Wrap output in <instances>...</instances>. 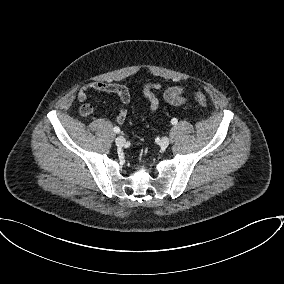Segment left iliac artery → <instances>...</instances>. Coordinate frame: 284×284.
<instances>
[{"label": "left iliac artery", "instance_id": "left-iliac-artery-1", "mask_svg": "<svg viewBox=\"0 0 284 284\" xmlns=\"http://www.w3.org/2000/svg\"><path fill=\"white\" fill-rule=\"evenodd\" d=\"M171 123H172L173 125H176V124L178 123V120H177L176 118H173V119L171 120Z\"/></svg>", "mask_w": 284, "mask_h": 284}]
</instances>
